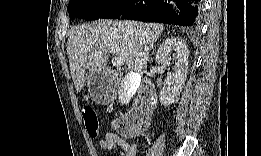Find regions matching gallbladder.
<instances>
[{"label":"gallbladder","mask_w":261,"mask_h":156,"mask_svg":"<svg viewBox=\"0 0 261 156\" xmlns=\"http://www.w3.org/2000/svg\"><path fill=\"white\" fill-rule=\"evenodd\" d=\"M122 79L123 86L119 91L120 98L117 102L122 104H127L128 102H131L132 97L136 95L134 92H137L139 89L140 82H142L141 75L138 73H127L126 76ZM118 108H126V107H118Z\"/></svg>","instance_id":"1"}]
</instances>
